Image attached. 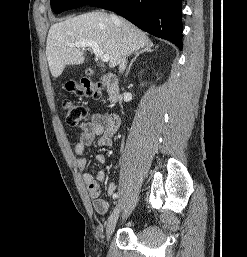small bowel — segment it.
<instances>
[{
    "mask_svg": "<svg viewBox=\"0 0 247 257\" xmlns=\"http://www.w3.org/2000/svg\"><path fill=\"white\" fill-rule=\"evenodd\" d=\"M119 118L115 114L111 113H96L89 121L83 124L81 127V133L79 139L74 147V153L77 160V165L80 170H83L86 166L85 149L91 145L96 137L97 145L99 147H109L112 145V136L119 127ZM96 160L100 164L106 163V156L98 154ZM105 172L103 170L98 171L95 175L85 173L83 180L88 188L89 194L93 199V207L99 214H106L109 210L110 204L108 201L100 198V182L105 179ZM107 194L114 196L116 194V184L111 182L107 186Z\"/></svg>",
    "mask_w": 247,
    "mask_h": 257,
    "instance_id": "obj_1",
    "label": "small bowel"
}]
</instances>
